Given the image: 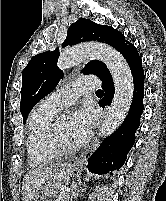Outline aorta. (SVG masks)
Listing matches in <instances>:
<instances>
[{"label": "aorta", "mask_w": 166, "mask_h": 201, "mask_svg": "<svg viewBox=\"0 0 166 201\" xmlns=\"http://www.w3.org/2000/svg\"><path fill=\"white\" fill-rule=\"evenodd\" d=\"M96 58L105 63L114 81V97L100 127L99 136L111 135L125 119L133 99V77L124 57L106 44H83L64 50L57 62L61 70H66L84 61Z\"/></svg>", "instance_id": "1"}]
</instances>
